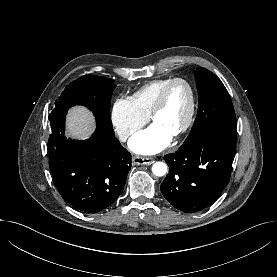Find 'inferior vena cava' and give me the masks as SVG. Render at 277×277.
I'll return each mask as SVG.
<instances>
[{"label": "inferior vena cava", "instance_id": "1", "mask_svg": "<svg viewBox=\"0 0 277 277\" xmlns=\"http://www.w3.org/2000/svg\"><path fill=\"white\" fill-rule=\"evenodd\" d=\"M128 136H129L128 131H125V132L121 133L120 139H121L122 141H126L127 138H128Z\"/></svg>", "mask_w": 277, "mask_h": 277}]
</instances>
